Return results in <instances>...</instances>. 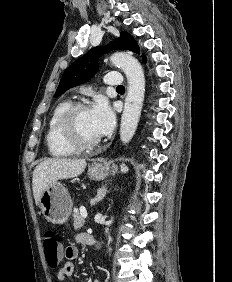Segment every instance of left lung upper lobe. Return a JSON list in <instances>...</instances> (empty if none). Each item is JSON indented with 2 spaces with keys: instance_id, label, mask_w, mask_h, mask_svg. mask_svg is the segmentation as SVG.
Here are the masks:
<instances>
[{
  "instance_id": "left-lung-upper-lobe-1",
  "label": "left lung upper lobe",
  "mask_w": 232,
  "mask_h": 282,
  "mask_svg": "<svg viewBox=\"0 0 232 282\" xmlns=\"http://www.w3.org/2000/svg\"><path fill=\"white\" fill-rule=\"evenodd\" d=\"M121 36L107 47H95L87 54L70 65L64 72L54 97L62 95L68 89L85 83L98 71L97 59L105 52L113 49L129 50L139 54V46L127 32H121Z\"/></svg>"
}]
</instances>
